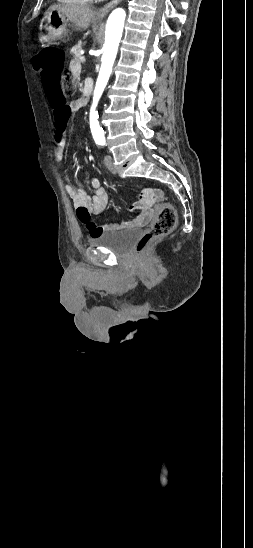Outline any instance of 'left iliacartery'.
Wrapping results in <instances>:
<instances>
[{
	"label": "left iliac artery",
	"instance_id": "obj_1",
	"mask_svg": "<svg viewBox=\"0 0 253 548\" xmlns=\"http://www.w3.org/2000/svg\"><path fill=\"white\" fill-rule=\"evenodd\" d=\"M98 143L101 144V145H104V144H105V140H104V139H103V140H99Z\"/></svg>",
	"mask_w": 253,
	"mask_h": 548
}]
</instances>
